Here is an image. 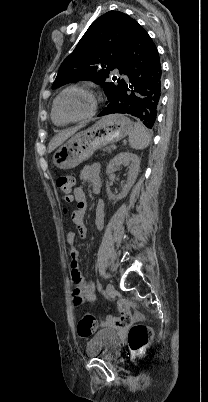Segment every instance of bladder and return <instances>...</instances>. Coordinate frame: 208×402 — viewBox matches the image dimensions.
Here are the masks:
<instances>
[{
	"label": "bladder",
	"mask_w": 208,
	"mask_h": 402,
	"mask_svg": "<svg viewBox=\"0 0 208 402\" xmlns=\"http://www.w3.org/2000/svg\"><path fill=\"white\" fill-rule=\"evenodd\" d=\"M121 339L114 329L104 328L90 338L86 346L88 356L115 357L120 349Z\"/></svg>",
	"instance_id": "obj_1"
}]
</instances>
